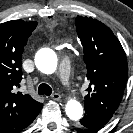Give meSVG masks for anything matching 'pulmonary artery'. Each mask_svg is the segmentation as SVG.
<instances>
[{
	"label": "pulmonary artery",
	"instance_id": "e3ab8cb5",
	"mask_svg": "<svg viewBox=\"0 0 133 133\" xmlns=\"http://www.w3.org/2000/svg\"><path fill=\"white\" fill-rule=\"evenodd\" d=\"M70 71H71V64L67 58H64L58 68V79L64 86H70L71 79H70Z\"/></svg>",
	"mask_w": 133,
	"mask_h": 133
}]
</instances>
